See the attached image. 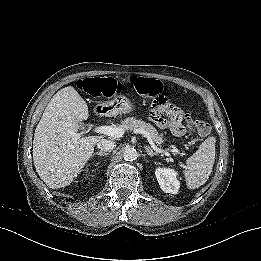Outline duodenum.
<instances>
[{"mask_svg":"<svg viewBox=\"0 0 261 261\" xmlns=\"http://www.w3.org/2000/svg\"><path fill=\"white\" fill-rule=\"evenodd\" d=\"M104 113H106L104 110H98L96 115H98V114H104Z\"/></svg>","mask_w":261,"mask_h":261,"instance_id":"1","label":"duodenum"}]
</instances>
